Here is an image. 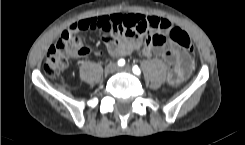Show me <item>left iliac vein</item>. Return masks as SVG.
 <instances>
[{
    "label": "left iliac vein",
    "instance_id": "left-iliac-vein-1",
    "mask_svg": "<svg viewBox=\"0 0 245 145\" xmlns=\"http://www.w3.org/2000/svg\"><path fill=\"white\" fill-rule=\"evenodd\" d=\"M117 71L129 73L131 71V67L130 66H124L122 68H117Z\"/></svg>",
    "mask_w": 245,
    "mask_h": 145
}]
</instances>
